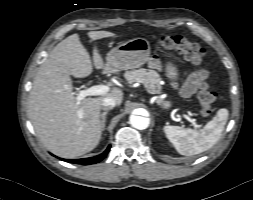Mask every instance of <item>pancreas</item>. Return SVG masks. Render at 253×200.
I'll return each mask as SVG.
<instances>
[{
	"label": "pancreas",
	"mask_w": 253,
	"mask_h": 200,
	"mask_svg": "<svg viewBox=\"0 0 253 200\" xmlns=\"http://www.w3.org/2000/svg\"><path fill=\"white\" fill-rule=\"evenodd\" d=\"M125 79L129 83L140 82L147 91L151 94H159L161 92V85L159 84L161 78L154 70H146L144 68L132 70L125 73ZM162 99H158L157 103H161Z\"/></svg>",
	"instance_id": "cf45deb5"
}]
</instances>
